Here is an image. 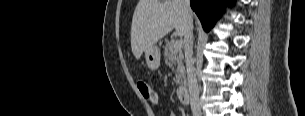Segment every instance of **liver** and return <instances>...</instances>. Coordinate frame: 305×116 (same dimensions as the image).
I'll return each instance as SVG.
<instances>
[{
    "label": "liver",
    "instance_id": "obj_1",
    "mask_svg": "<svg viewBox=\"0 0 305 116\" xmlns=\"http://www.w3.org/2000/svg\"><path fill=\"white\" fill-rule=\"evenodd\" d=\"M188 16L192 19L193 13ZM186 17L182 0H139L132 18L131 49L138 60L146 48L173 29L184 36Z\"/></svg>",
    "mask_w": 305,
    "mask_h": 116
}]
</instances>
